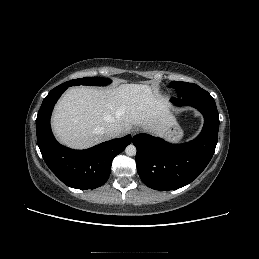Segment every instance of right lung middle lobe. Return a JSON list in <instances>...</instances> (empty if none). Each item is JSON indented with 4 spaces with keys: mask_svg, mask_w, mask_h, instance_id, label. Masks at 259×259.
I'll return each instance as SVG.
<instances>
[{
    "mask_svg": "<svg viewBox=\"0 0 259 259\" xmlns=\"http://www.w3.org/2000/svg\"><path fill=\"white\" fill-rule=\"evenodd\" d=\"M111 83V80L107 78H100V77H86L81 79H74L67 81L62 86H77V85H91V86H105L107 84Z\"/></svg>",
    "mask_w": 259,
    "mask_h": 259,
    "instance_id": "right-lung-middle-lobe-1",
    "label": "right lung middle lobe"
}]
</instances>
